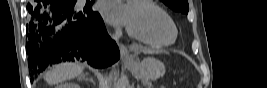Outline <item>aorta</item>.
<instances>
[{
	"mask_svg": "<svg viewBox=\"0 0 267 88\" xmlns=\"http://www.w3.org/2000/svg\"><path fill=\"white\" fill-rule=\"evenodd\" d=\"M117 88H127V84L123 81L119 82Z\"/></svg>",
	"mask_w": 267,
	"mask_h": 88,
	"instance_id": "1",
	"label": "aorta"
}]
</instances>
